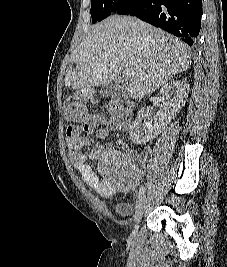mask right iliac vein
<instances>
[{
    "instance_id": "obj_1",
    "label": "right iliac vein",
    "mask_w": 227,
    "mask_h": 267,
    "mask_svg": "<svg viewBox=\"0 0 227 267\" xmlns=\"http://www.w3.org/2000/svg\"><path fill=\"white\" fill-rule=\"evenodd\" d=\"M147 202H148V197L147 195H144L142 196V198L137 204V208H136L135 215H134V224H133L131 236H136L138 232L139 222L141 220V217L143 215L144 208Z\"/></svg>"
}]
</instances>
